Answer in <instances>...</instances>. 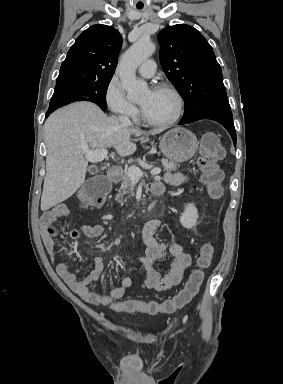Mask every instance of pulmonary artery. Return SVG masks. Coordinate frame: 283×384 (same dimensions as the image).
I'll return each mask as SVG.
<instances>
[{
	"label": "pulmonary artery",
	"mask_w": 283,
	"mask_h": 384,
	"mask_svg": "<svg viewBox=\"0 0 283 384\" xmlns=\"http://www.w3.org/2000/svg\"><path fill=\"white\" fill-rule=\"evenodd\" d=\"M156 67L153 61L142 62L138 67V73L145 77H151L154 75Z\"/></svg>",
	"instance_id": "e3ab8cb5"
}]
</instances>
